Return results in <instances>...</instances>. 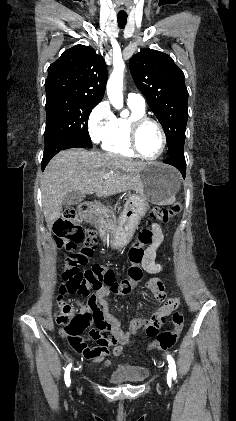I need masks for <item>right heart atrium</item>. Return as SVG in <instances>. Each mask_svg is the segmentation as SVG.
<instances>
[{
  "label": "right heart atrium",
  "instance_id": "1",
  "mask_svg": "<svg viewBox=\"0 0 236 421\" xmlns=\"http://www.w3.org/2000/svg\"><path fill=\"white\" fill-rule=\"evenodd\" d=\"M114 115L105 101L96 105L89 114L87 126L91 141L99 144L110 126L112 125Z\"/></svg>",
  "mask_w": 236,
  "mask_h": 421
}]
</instances>
